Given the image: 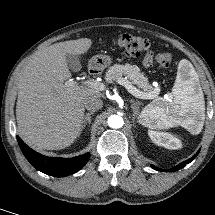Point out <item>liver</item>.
Returning <instances> with one entry per match:
<instances>
[{
	"instance_id": "liver-1",
	"label": "liver",
	"mask_w": 215,
	"mask_h": 215,
	"mask_svg": "<svg viewBox=\"0 0 215 215\" xmlns=\"http://www.w3.org/2000/svg\"><path fill=\"white\" fill-rule=\"evenodd\" d=\"M88 38L55 43L35 52L19 75L16 118L22 138L38 149L59 150L70 146L84 121V100L100 97L98 90L69 85L71 72L66 54H86Z\"/></svg>"
}]
</instances>
